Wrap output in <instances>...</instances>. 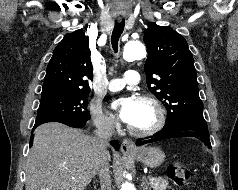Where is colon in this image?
<instances>
[{"label":"colon","mask_w":238,"mask_h":190,"mask_svg":"<svg viewBox=\"0 0 238 190\" xmlns=\"http://www.w3.org/2000/svg\"><path fill=\"white\" fill-rule=\"evenodd\" d=\"M168 175L177 185H187L191 179V170L180 162H174L168 167Z\"/></svg>","instance_id":"colon-1"}]
</instances>
